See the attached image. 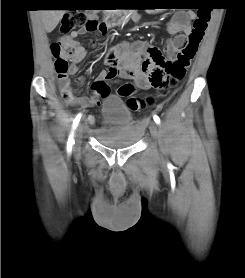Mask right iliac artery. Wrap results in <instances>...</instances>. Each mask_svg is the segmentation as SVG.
<instances>
[{
  "mask_svg": "<svg viewBox=\"0 0 245 278\" xmlns=\"http://www.w3.org/2000/svg\"><path fill=\"white\" fill-rule=\"evenodd\" d=\"M80 118H81V114H78L73 121L72 131L70 133V136H69L68 142H67V152H71L72 151V146L75 144L73 136H74V131H75V129H76V127H77V125L80 121Z\"/></svg>",
  "mask_w": 245,
  "mask_h": 278,
  "instance_id": "right-iliac-artery-1",
  "label": "right iliac artery"
}]
</instances>
